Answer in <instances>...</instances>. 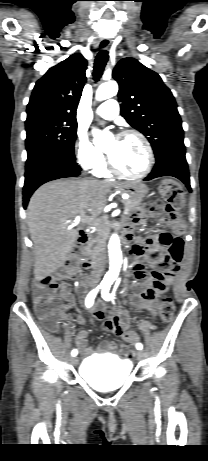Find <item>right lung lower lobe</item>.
Masks as SVG:
<instances>
[{"mask_svg":"<svg viewBox=\"0 0 208 461\" xmlns=\"http://www.w3.org/2000/svg\"><path fill=\"white\" fill-rule=\"evenodd\" d=\"M81 168L74 159L57 153L46 152L26 162L23 187V207L26 209L30 196L42 184L64 177H76Z\"/></svg>","mask_w":208,"mask_h":461,"instance_id":"right-lung-lower-lobe-1","label":"right lung lower lobe"}]
</instances>
